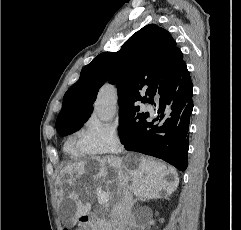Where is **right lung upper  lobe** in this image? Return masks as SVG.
<instances>
[{
    "instance_id": "obj_1",
    "label": "right lung upper lobe",
    "mask_w": 241,
    "mask_h": 230,
    "mask_svg": "<svg viewBox=\"0 0 241 230\" xmlns=\"http://www.w3.org/2000/svg\"><path fill=\"white\" fill-rule=\"evenodd\" d=\"M183 62V54L170 33L155 24L146 25L118 52L101 53L83 67L79 80L64 95L57 131L87 121L104 82L116 84L120 108L134 106V101L147 102L163 77Z\"/></svg>"
}]
</instances>
